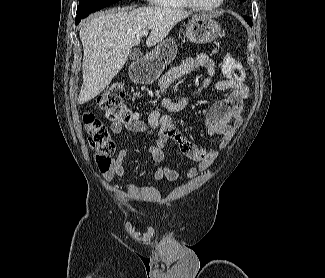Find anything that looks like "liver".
Masks as SVG:
<instances>
[{
	"mask_svg": "<svg viewBox=\"0 0 325 278\" xmlns=\"http://www.w3.org/2000/svg\"><path fill=\"white\" fill-rule=\"evenodd\" d=\"M190 15L166 7H139L99 13L80 29L83 45V83L78 104L98 96L122 69L133 46L140 43L143 30L150 28L146 45L164 40L172 28Z\"/></svg>",
	"mask_w": 325,
	"mask_h": 278,
	"instance_id": "6515ba94",
	"label": "liver"
}]
</instances>
